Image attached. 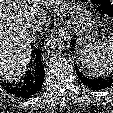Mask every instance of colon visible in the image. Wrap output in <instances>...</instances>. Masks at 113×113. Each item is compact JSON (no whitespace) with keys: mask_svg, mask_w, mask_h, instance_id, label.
Segmentation results:
<instances>
[{"mask_svg":"<svg viewBox=\"0 0 113 113\" xmlns=\"http://www.w3.org/2000/svg\"><path fill=\"white\" fill-rule=\"evenodd\" d=\"M98 11L103 15L113 18V3L109 0H92Z\"/></svg>","mask_w":113,"mask_h":113,"instance_id":"1","label":"colon"}]
</instances>
